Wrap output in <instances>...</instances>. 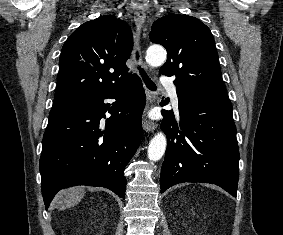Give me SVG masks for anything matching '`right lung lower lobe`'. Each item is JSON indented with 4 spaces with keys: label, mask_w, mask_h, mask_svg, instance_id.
<instances>
[{
    "label": "right lung lower lobe",
    "mask_w": 283,
    "mask_h": 235,
    "mask_svg": "<svg viewBox=\"0 0 283 235\" xmlns=\"http://www.w3.org/2000/svg\"><path fill=\"white\" fill-rule=\"evenodd\" d=\"M116 99L112 104L104 99ZM145 92L134 75L124 84L78 101L66 115L49 121L42 142L40 173L46 209L64 187H106L124 199L123 171L142 131ZM111 114L106 123L105 113Z\"/></svg>",
    "instance_id": "1"
}]
</instances>
